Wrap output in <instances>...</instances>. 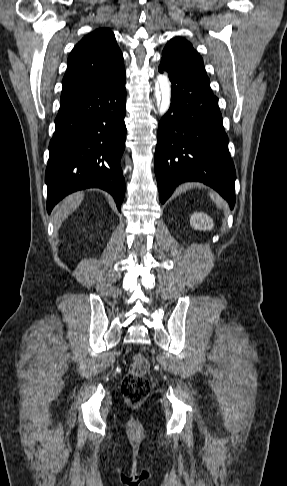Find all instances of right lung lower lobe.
Instances as JSON below:
<instances>
[{"label":"right lung lower lobe","instance_id":"98d812e1","mask_svg":"<svg viewBox=\"0 0 287 486\" xmlns=\"http://www.w3.org/2000/svg\"><path fill=\"white\" fill-rule=\"evenodd\" d=\"M125 77L62 103L49 144L45 182L50 213L66 195L85 188L109 192L120 210L125 179Z\"/></svg>","mask_w":287,"mask_h":486}]
</instances>
